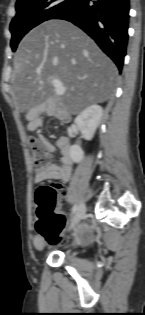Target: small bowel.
I'll use <instances>...</instances> for the list:
<instances>
[{"label":"small bowel","instance_id":"c3829d8e","mask_svg":"<svg viewBox=\"0 0 145 315\" xmlns=\"http://www.w3.org/2000/svg\"><path fill=\"white\" fill-rule=\"evenodd\" d=\"M39 125L40 121L36 118L30 122L29 128L33 130L39 127ZM44 142L51 152H55L58 149L61 153V157L59 163H51L44 170L35 171L33 176L34 183L38 184L49 180H57L62 182L68 181L72 171L70 143L68 139L60 138L57 140L55 145L45 139ZM61 193L63 197L64 190L61 191ZM32 244L36 249L41 250L45 246V239L38 233L33 237Z\"/></svg>","mask_w":145,"mask_h":315}]
</instances>
